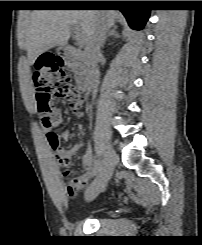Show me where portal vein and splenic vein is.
Here are the masks:
<instances>
[{
	"label": "portal vein and splenic vein",
	"mask_w": 202,
	"mask_h": 245,
	"mask_svg": "<svg viewBox=\"0 0 202 245\" xmlns=\"http://www.w3.org/2000/svg\"><path fill=\"white\" fill-rule=\"evenodd\" d=\"M74 34H75V39L78 44H83L84 43V32L78 27L74 26Z\"/></svg>",
	"instance_id": "18ae733b"
}]
</instances>
